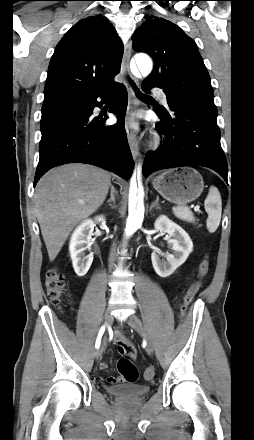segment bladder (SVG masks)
Masks as SVG:
<instances>
[{
  "instance_id": "bladder-1",
  "label": "bladder",
  "mask_w": 254,
  "mask_h": 440,
  "mask_svg": "<svg viewBox=\"0 0 254 440\" xmlns=\"http://www.w3.org/2000/svg\"><path fill=\"white\" fill-rule=\"evenodd\" d=\"M150 386L146 384H122L107 387V392L118 398H137L147 394Z\"/></svg>"
}]
</instances>
